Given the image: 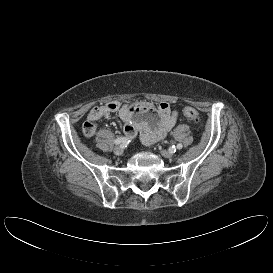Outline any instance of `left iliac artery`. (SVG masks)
I'll list each match as a JSON object with an SVG mask.
<instances>
[{"mask_svg":"<svg viewBox=\"0 0 273 273\" xmlns=\"http://www.w3.org/2000/svg\"><path fill=\"white\" fill-rule=\"evenodd\" d=\"M182 147H183V146H182V144H180V143L177 144V146H176V148L179 149V150L182 149ZM176 148H174V146H173L172 149H170V151H171V152H175V151H176Z\"/></svg>","mask_w":273,"mask_h":273,"instance_id":"44dca946","label":"left iliac artery"}]
</instances>
